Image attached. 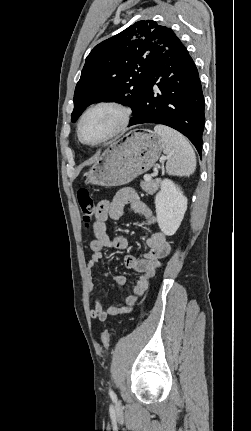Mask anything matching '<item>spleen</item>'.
Listing matches in <instances>:
<instances>
[{
	"label": "spleen",
	"mask_w": 251,
	"mask_h": 431,
	"mask_svg": "<svg viewBox=\"0 0 251 431\" xmlns=\"http://www.w3.org/2000/svg\"><path fill=\"white\" fill-rule=\"evenodd\" d=\"M154 132L160 136L163 153L169 157L166 172L176 176L193 174L196 169V156L187 139L165 125H156Z\"/></svg>",
	"instance_id": "1"
}]
</instances>
